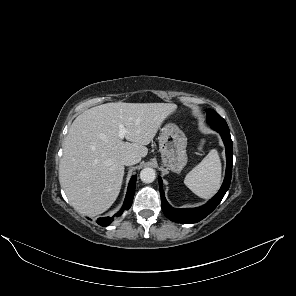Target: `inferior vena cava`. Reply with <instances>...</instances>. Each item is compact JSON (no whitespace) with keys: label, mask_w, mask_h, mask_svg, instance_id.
Returning <instances> with one entry per match:
<instances>
[{"label":"inferior vena cava","mask_w":296,"mask_h":296,"mask_svg":"<svg viewBox=\"0 0 296 296\" xmlns=\"http://www.w3.org/2000/svg\"><path fill=\"white\" fill-rule=\"evenodd\" d=\"M140 160H141V157L139 155L129 154L126 157H124L123 163L124 165L129 166V165H133L140 162Z\"/></svg>","instance_id":"602c4592"}]
</instances>
